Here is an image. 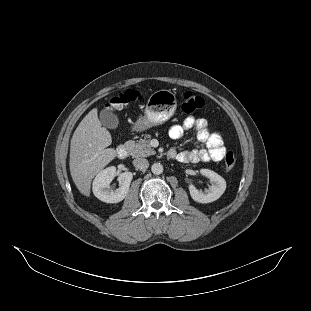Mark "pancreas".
Wrapping results in <instances>:
<instances>
[{
  "mask_svg": "<svg viewBox=\"0 0 311 311\" xmlns=\"http://www.w3.org/2000/svg\"><path fill=\"white\" fill-rule=\"evenodd\" d=\"M124 146L126 147L128 154L134 158L148 157L156 153L149 143V140H140L139 142L128 140L124 143Z\"/></svg>",
  "mask_w": 311,
  "mask_h": 311,
  "instance_id": "obj_1",
  "label": "pancreas"
}]
</instances>
